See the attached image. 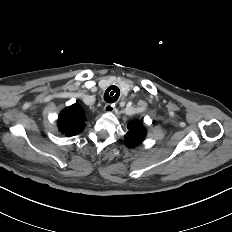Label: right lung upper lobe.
Listing matches in <instances>:
<instances>
[{"label":"right lung upper lobe","mask_w":232,"mask_h":232,"mask_svg":"<svg viewBox=\"0 0 232 232\" xmlns=\"http://www.w3.org/2000/svg\"><path fill=\"white\" fill-rule=\"evenodd\" d=\"M85 127L84 112L81 107L75 103L65 108L59 115L58 128L66 136H74L83 131Z\"/></svg>","instance_id":"obj_1"}]
</instances>
